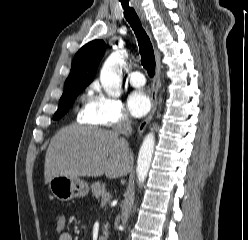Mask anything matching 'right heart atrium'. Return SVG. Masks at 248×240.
Segmentation results:
<instances>
[{
	"instance_id": "d8ad5b80",
	"label": "right heart atrium",
	"mask_w": 248,
	"mask_h": 240,
	"mask_svg": "<svg viewBox=\"0 0 248 240\" xmlns=\"http://www.w3.org/2000/svg\"><path fill=\"white\" fill-rule=\"evenodd\" d=\"M81 118L87 123L107 127L127 126L130 123L122 102L107 95L97 82L88 88V98Z\"/></svg>"
}]
</instances>
